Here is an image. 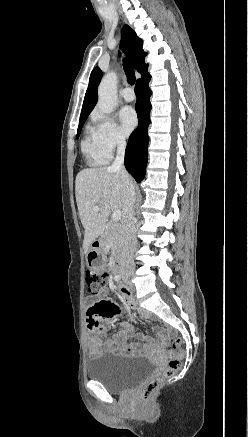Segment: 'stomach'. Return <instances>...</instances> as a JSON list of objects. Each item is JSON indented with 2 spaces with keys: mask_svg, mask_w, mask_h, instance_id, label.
I'll use <instances>...</instances> for the list:
<instances>
[{
  "mask_svg": "<svg viewBox=\"0 0 248 437\" xmlns=\"http://www.w3.org/2000/svg\"><path fill=\"white\" fill-rule=\"evenodd\" d=\"M87 265L90 272H105L106 259L102 251H91L87 254Z\"/></svg>",
  "mask_w": 248,
  "mask_h": 437,
  "instance_id": "obj_1",
  "label": "stomach"
}]
</instances>
